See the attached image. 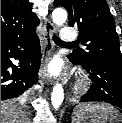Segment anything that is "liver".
<instances>
[{"label":"liver","instance_id":"6515ba94","mask_svg":"<svg viewBox=\"0 0 122 123\" xmlns=\"http://www.w3.org/2000/svg\"><path fill=\"white\" fill-rule=\"evenodd\" d=\"M1 123H26L24 112L9 102H1Z\"/></svg>","mask_w":122,"mask_h":123}]
</instances>
